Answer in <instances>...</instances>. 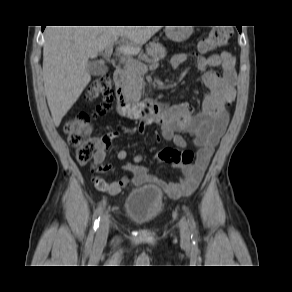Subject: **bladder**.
Returning <instances> with one entry per match:
<instances>
[{
	"label": "bladder",
	"mask_w": 292,
	"mask_h": 292,
	"mask_svg": "<svg viewBox=\"0 0 292 292\" xmlns=\"http://www.w3.org/2000/svg\"><path fill=\"white\" fill-rule=\"evenodd\" d=\"M163 209L161 190L156 186L143 185L134 189L124 203V215L138 226L155 220Z\"/></svg>",
	"instance_id": "bladder-1"
}]
</instances>
